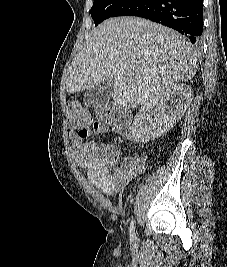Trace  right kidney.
I'll return each instance as SVG.
<instances>
[{
    "label": "right kidney",
    "instance_id": "1",
    "mask_svg": "<svg viewBox=\"0 0 227 267\" xmlns=\"http://www.w3.org/2000/svg\"><path fill=\"white\" fill-rule=\"evenodd\" d=\"M192 98L191 87L180 83L145 102L133 121L134 141L148 142L164 135L181 119Z\"/></svg>",
    "mask_w": 227,
    "mask_h": 267
}]
</instances>
